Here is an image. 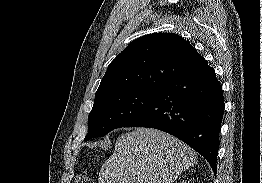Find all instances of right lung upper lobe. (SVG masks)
<instances>
[{"label": "right lung upper lobe", "mask_w": 262, "mask_h": 183, "mask_svg": "<svg viewBox=\"0 0 262 183\" xmlns=\"http://www.w3.org/2000/svg\"><path fill=\"white\" fill-rule=\"evenodd\" d=\"M206 64L192 45L174 33L132 41L108 66L95 97L126 89H159Z\"/></svg>", "instance_id": "right-lung-upper-lobe-1"}]
</instances>
